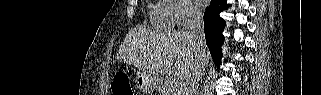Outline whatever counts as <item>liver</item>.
I'll use <instances>...</instances> for the list:
<instances>
[{"label":"liver","instance_id":"obj_1","mask_svg":"<svg viewBox=\"0 0 321 95\" xmlns=\"http://www.w3.org/2000/svg\"><path fill=\"white\" fill-rule=\"evenodd\" d=\"M116 59L132 64L155 80L171 74L186 80L198 64L197 48L189 32L156 33L144 28L132 29L121 44ZM206 66L211 60L205 47Z\"/></svg>","mask_w":321,"mask_h":95}]
</instances>
